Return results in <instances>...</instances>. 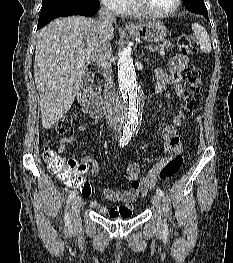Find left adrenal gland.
<instances>
[{"label":"left adrenal gland","instance_id":"obj_1","mask_svg":"<svg viewBox=\"0 0 233 263\" xmlns=\"http://www.w3.org/2000/svg\"><path fill=\"white\" fill-rule=\"evenodd\" d=\"M144 55V53L143 52H141V56H143ZM146 61H148V58L146 59Z\"/></svg>","mask_w":233,"mask_h":263}]
</instances>
